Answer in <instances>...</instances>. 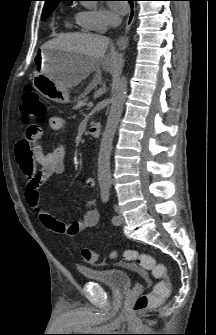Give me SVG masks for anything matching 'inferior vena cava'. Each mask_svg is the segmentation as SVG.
<instances>
[{"mask_svg":"<svg viewBox=\"0 0 216 335\" xmlns=\"http://www.w3.org/2000/svg\"><path fill=\"white\" fill-rule=\"evenodd\" d=\"M120 22H121L120 19H116L114 25L116 26V25H118Z\"/></svg>","mask_w":216,"mask_h":335,"instance_id":"inferior-vena-cava-1","label":"inferior vena cava"}]
</instances>
